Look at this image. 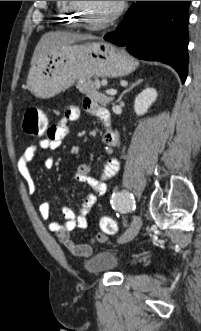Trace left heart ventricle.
<instances>
[{
	"label": "left heart ventricle",
	"instance_id": "obj_1",
	"mask_svg": "<svg viewBox=\"0 0 201 331\" xmlns=\"http://www.w3.org/2000/svg\"><path fill=\"white\" fill-rule=\"evenodd\" d=\"M83 16L89 22H100L109 16L117 7L118 1H80Z\"/></svg>",
	"mask_w": 201,
	"mask_h": 331
}]
</instances>
